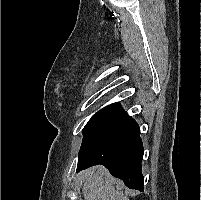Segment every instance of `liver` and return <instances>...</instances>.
Masks as SVG:
<instances>
[{
    "label": "liver",
    "mask_w": 201,
    "mask_h": 200,
    "mask_svg": "<svg viewBox=\"0 0 201 200\" xmlns=\"http://www.w3.org/2000/svg\"><path fill=\"white\" fill-rule=\"evenodd\" d=\"M84 200H129L123 192L115 190L113 179L104 168L93 167L83 174Z\"/></svg>",
    "instance_id": "1"
}]
</instances>
